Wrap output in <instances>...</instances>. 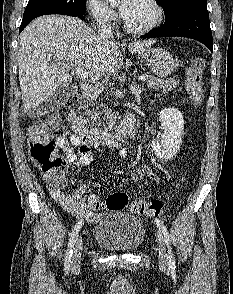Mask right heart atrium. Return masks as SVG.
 Masks as SVG:
<instances>
[{
	"label": "right heart atrium",
	"instance_id": "right-heart-atrium-1",
	"mask_svg": "<svg viewBox=\"0 0 233 294\" xmlns=\"http://www.w3.org/2000/svg\"><path fill=\"white\" fill-rule=\"evenodd\" d=\"M87 9L98 23H113L117 19L115 11L104 0H87Z\"/></svg>",
	"mask_w": 233,
	"mask_h": 294
}]
</instances>
